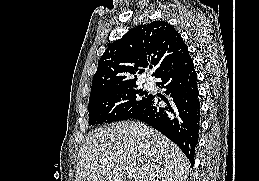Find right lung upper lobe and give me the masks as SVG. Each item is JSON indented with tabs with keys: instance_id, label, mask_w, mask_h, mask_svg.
Instances as JSON below:
<instances>
[{
	"instance_id": "obj_1",
	"label": "right lung upper lobe",
	"mask_w": 259,
	"mask_h": 181,
	"mask_svg": "<svg viewBox=\"0 0 259 181\" xmlns=\"http://www.w3.org/2000/svg\"><path fill=\"white\" fill-rule=\"evenodd\" d=\"M187 52L179 33L167 22L139 25L113 42L101 56L93 76L90 97L136 86L137 74L148 65L154 68L152 76L157 77Z\"/></svg>"
}]
</instances>
